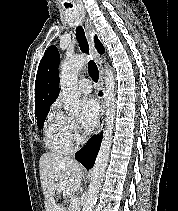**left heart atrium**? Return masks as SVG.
I'll return each mask as SVG.
<instances>
[{
  "label": "left heart atrium",
  "instance_id": "1",
  "mask_svg": "<svg viewBox=\"0 0 178 211\" xmlns=\"http://www.w3.org/2000/svg\"><path fill=\"white\" fill-rule=\"evenodd\" d=\"M80 124L86 130H92L99 118L100 107L91 97L84 98L80 103Z\"/></svg>",
  "mask_w": 178,
  "mask_h": 211
}]
</instances>
